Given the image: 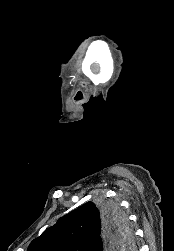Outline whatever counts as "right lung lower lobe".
<instances>
[{
  "instance_id": "98d812e1",
  "label": "right lung lower lobe",
  "mask_w": 174,
  "mask_h": 251,
  "mask_svg": "<svg viewBox=\"0 0 174 251\" xmlns=\"http://www.w3.org/2000/svg\"><path fill=\"white\" fill-rule=\"evenodd\" d=\"M115 233V227L105 218L103 220V233L101 237V242L104 248L107 246L111 247L113 244V236ZM106 250H112L115 251V249H104Z\"/></svg>"
}]
</instances>
